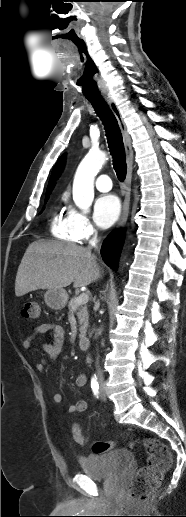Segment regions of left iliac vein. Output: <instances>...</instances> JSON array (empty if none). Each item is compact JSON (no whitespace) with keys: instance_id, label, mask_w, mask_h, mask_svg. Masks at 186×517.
<instances>
[{"instance_id":"left-iliac-vein-1","label":"left iliac vein","mask_w":186,"mask_h":517,"mask_svg":"<svg viewBox=\"0 0 186 517\" xmlns=\"http://www.w3.org/2000/svg\"><path fill=\"white\" fill-rule=\"evenodd\" d=\"M100 398L101 400L105 401L106 400V393H105V390L103 387L100 388Z\"/></svg>"}]
</instances>
